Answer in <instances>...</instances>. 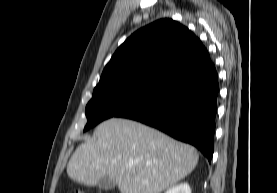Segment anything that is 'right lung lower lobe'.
Returning <instances> with one entry per match:
<instances>
[{
  "label": "right lung lower lobe",
  "instance_id": "98d812e1",
  "mask_svg": "<svg viewBox=\"0 0 277 193\" xmlns=\"http://www.w3.org/2000/svg\"><path fill=\"white\" fill-rule=\"evenodd\" d=\"M218 91V75L210 60L165 83L117 117L142 122L194 145L210 162Z\"/></svg>",
  "mask_w": 277,
  "mask_h": 193
}]
</instances>
